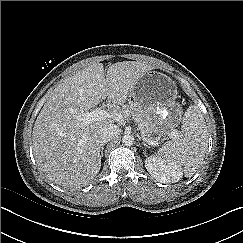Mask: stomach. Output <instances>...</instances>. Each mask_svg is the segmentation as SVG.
<instances>
[{
    "mask_svg": "<svg viewBox=\"0 0 243 243\" xmlns=\"http://www.w3.org/2000/svg\"><path fill=\"white\" fill-rule=\"evenodd\" d=\"M131 97L149 118L158 137H168L182 120L183 110L177 101V86L170 77L149 70L136 83Z\"/></svg>",
    "mask_w": 243,
    "mask_h": 243,
    "instance_id": "1",
    "label": "stomach"
}]
</instances>
